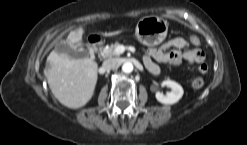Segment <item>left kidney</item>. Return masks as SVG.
<instances>
[{"label":"left kidney","instance_id":"5707ae66","mask_svg":"<svg viewBox=\"0 0 247 145\" xmlns=\"http://www.w3.org/2000/svg\"><path fill=\"white\" fill-rule=\"evenodd\" d=\"M164 86L171 88V91L166 95L157 92L156 99L162 104H175L177 103L183 95V88L180 84L172 80H165L162 82Z\"/></svg>","mask_w":247,"mask_h":145}]
</instances>
